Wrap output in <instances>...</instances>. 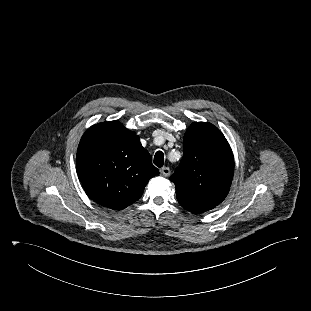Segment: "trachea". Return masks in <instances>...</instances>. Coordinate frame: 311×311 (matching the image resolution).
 Returning <instances> with one entry per match:
<instances>
[{
	"label": "trachea",
	"instance_id": "obj_1",
	"mask_svg": "<svg viewBox=\"0 0 311 311\" xmlns=\"http://www.w3.org/2000/svg\"><path fill=\"white\" fill-rule=\"evenodd\" d=\"M154 164L157 167H162L164 164V154L162 151H157L154 156Z\"/></svg>",
	"mask_w": 311,
	"mask_h": 311
}]
</instances>
